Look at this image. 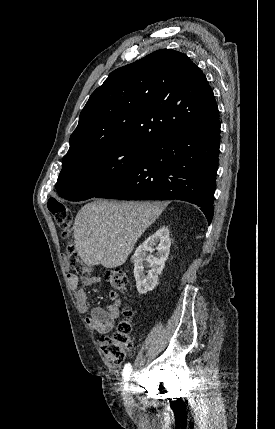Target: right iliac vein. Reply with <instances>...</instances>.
Masks as SVG:
<instances>
[{
	"label": "right iliac vein",
	"mask_w": 275,
	"mask_h": 429,
	"mask_svg": "<svg viewBox=\"0 0 275 429\" xmlns=\"http://www.w3.org/2000/svg\"><path fill=\"white\" fill-rule=\"evenodd\" d=\"M127 386H128V385H127ZM126 394H127V395L129 394V389H128V388L126 389ZM127 399H130V397L128 396V397H127Z\"/></svg>",
	"instance_id": "1"
}]
</instances>
